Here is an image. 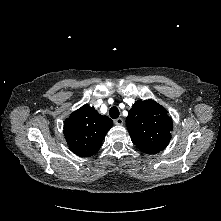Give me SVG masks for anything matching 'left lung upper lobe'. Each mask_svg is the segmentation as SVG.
I'll return each mask as SVG.
<instances>
[{"label":"left lung upper lobe","mask_w":221,"mask_h":221,"mask_svg":"<svg viewBox=\"0 0 221 221\" xmlns=\"http://www.w3.org/2000/svg\"><path fill=\"white\" fill-rule=\"evenodd\" d=\"M126 125L132 142L144 153H158L170 142L172 118L153 100L136 101L128 113Z\"/></svg>","instance_id":"obj_1"}]
</instances>
